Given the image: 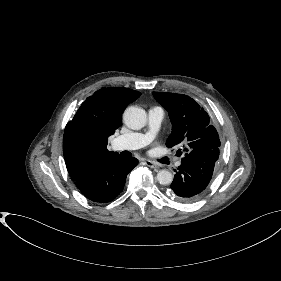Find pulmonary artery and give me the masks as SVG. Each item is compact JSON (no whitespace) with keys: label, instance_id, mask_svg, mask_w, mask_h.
Wrapping results in <instances>:
<instances>
[{"label":"pulmonary artery","instance_id":"obj_1","mask_svg":"<svg viewBox=\"0 0 281 281\" xmlns=\"http://www.w3.org/2000/svg\"><path fill=\"white\" fill-rule=\"evenodd\" d=\"M164 118V110L154 106L148 111V131L145 133L130 132L118 136L114 140L116 150H137L149 144L154 138L155 133L160 128ZM180 165V162L178 163Z\"/></svg>","mask_w":281,"mask_h":281}]
</instances>
